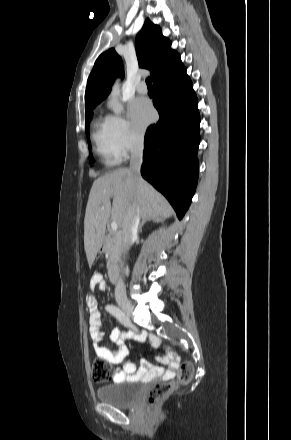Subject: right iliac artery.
Listing matches in <instances>:
<instances>
[{
	"label": "right iliac artery",
	"instance_id": "obj_1",
	"mask_svg": "<svg viewBox=\"0 0 291 440\" xmlns=\"http://www.w3.org/2000/svg\"><path fill=\"white\" fill-rule=\"evenodd\" d=\"M107 311L112 314L114 317H116L124 326L129 327L130 326V320L128 316L120 310L118 307L114 305H108Z\"/></svg>",
	"mask_w": 291,
	"mask_h": 440
}]
</instances>
